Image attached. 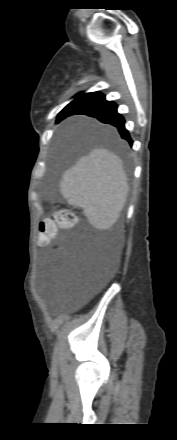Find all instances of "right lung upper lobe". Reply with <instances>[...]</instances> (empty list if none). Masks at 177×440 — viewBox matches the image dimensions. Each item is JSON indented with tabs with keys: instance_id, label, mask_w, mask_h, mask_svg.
I'll return each instance as SVG.
<instances>
[{
	"instance_id": "cb5924a9",
	"label": "right lung upper lobe",
	"mask_w": 177,
	"mask_h": 440,
	"mask_svg": "<svg viewBox=\"0 0 177 440\" xmlns=\"http://www.w3.org/2000/svg\"><path fill=\"white\" fill-rule=\"evenodd\" d=\"M81 96H83V97H88V98H93V99L95 100V102H98V101H100V100L105 99L104 95H102V94L99 93V92L87 93V94H84V95H81ZM95 102H94V103H95ZM67 117H68V116H67ZM63 119H64V118H63ZM63 119L58 118V119H57V122H59V121H61V120H63Z\"/></svg>"
}]
</instances>
